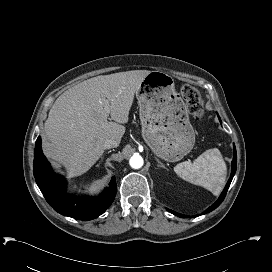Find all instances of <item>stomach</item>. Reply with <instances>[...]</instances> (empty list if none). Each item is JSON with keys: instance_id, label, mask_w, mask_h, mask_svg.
I'll use <instances>...</instances> for the list:
<instances>
[{"instance_id": "0dacf381", "label": "stomach", "mask_w": 272, "mask_h": 272, "mask_svg": "<svg viewBox=\"0 0 272 272\" xmlns=\"http://www.w3.org/2000/svg\"><path fill=\"white\" fill-rule=\"evenodd\" d=\"M142 136L159 158L177 162L195 144L187 107L175 90L172 76L151 71L136 91Z\"/></svg>"}]
</instances>
